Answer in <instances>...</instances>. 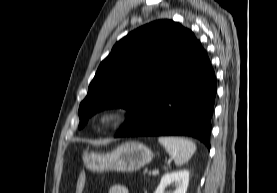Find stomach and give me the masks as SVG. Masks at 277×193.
<instances>
[{
	"mask_svg": "<svg viewBox=\"0 0 277 193\" xmlns=\"http://www.w3.org/2000/svg\"><path fill=\"white\" fill-rule=\"evenodd\" d=\"M152 150L140 142H126L107 153H85L84 165L94 172H134L153 159Z\"/></svg>",
	"mask_w": 277,
	"mask_h": 193,
	"instance_id": "1",
	"label": "stomach"
}]
</instances>
